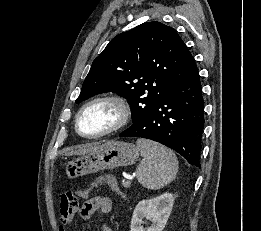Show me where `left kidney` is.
<instances>
[{
    "mask_svg": "<svg viewBox=\"0 0 261 231\" xmlns=\"http://www.w3.org/2000/svg\"><path fill=\"white\" fill-rule=\"evenodd\" d=\"M174 195L164 193L156 198L140 201L134 209L130 231H162L170 216ZM144 219L151 222L143 227Z\"/></svg>",
    "mask_w": 261,
    "mask_h": 231,
    "instance_id": "5707ae66",
    "label": "left kidney"
}]
</instances>
